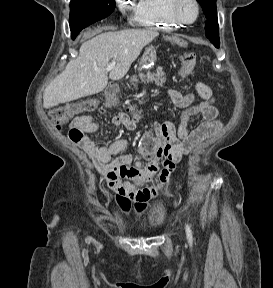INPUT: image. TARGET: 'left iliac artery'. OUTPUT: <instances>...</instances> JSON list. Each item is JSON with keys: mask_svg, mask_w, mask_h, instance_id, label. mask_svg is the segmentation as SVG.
I'll use <instances>...</instances> for the list:
<instances>
[{"mask_svg": "<svg viewBox=\"0 0 273 288\" xmlns=\"http://www.w3.org/2000/svg\"><path fill=\"white\" fill-rule=\"evenodd\" d=\"M185 230H186L188 242L190 245H192V242H193L192 230L188 224H186Z\"/></svg>", "mask_w": 273, "mask_h": 288, "instance_id": "44dca946", "label": "left iliac artery"}]
</instances>
